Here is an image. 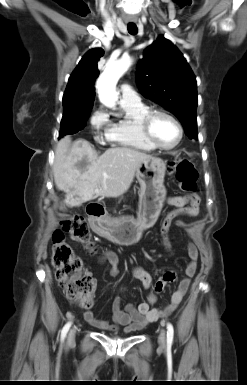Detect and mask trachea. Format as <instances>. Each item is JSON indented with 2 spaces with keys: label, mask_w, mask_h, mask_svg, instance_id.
<instances>
[{
  "label": "trachea",
  "mask_w": 247,
  "mask_h": 385,
  "mask_svg": "<svg viewBox=\"0 0 247 385\" xmlns=\"http://www.w3.org/2000/svg\"><path fill=\"white\" fill-rule=\"evenodd\" d=\"M127 28H128V32L131 35H135L138 32V28H137V26L135 24H128Z\"/></svg>",
  "instance_id": "1"
}]
</instances>
